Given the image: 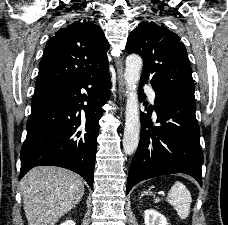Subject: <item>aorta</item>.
I'll return each instance as SVG.
<instances>
[{"instance_id": "aorta-1", "label": "aorta", "mask_w": 228, "mask_h": 225, "mask_svg": "<svg viewBox=\"0 0 228 225\" xmlns=\"http://www.w3.org/2000/svg\"><path fill=\"white\" fill-rule=\"evenodd\" d=\"M142 66V58L139 54H129V56H127L124 72L127 88V102L123 139V149L126 155H133L139 145L140 119L136 88Z\"/></svg>"}]
</instances>
